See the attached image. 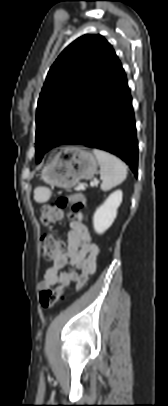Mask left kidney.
Returning a JSON list of instances; mask_svg holds the SVG:
<instances>
[{
	"label": "left kidney",
	"mask_w": 168,
	"mask_h": 406,
	"mask_svg": "<svg viewBox=\"0 0 168 406\" xmlns=\"http://www.w3.org/2000/svg\"><path fill=\"white\" fill-rule=\"evenodd\" d=\"M123 193L116 190L111 193L105 202L97 208L93 216V227L98 234L104 233L114 222L117 209L122 202Z\"/></svg>",
	"instance_id": "5707ae66"
}]
</instances>
